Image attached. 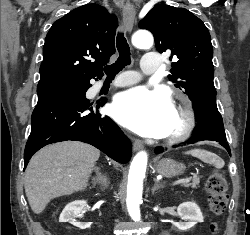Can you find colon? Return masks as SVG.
Returning a JSON list of instances; mask_svg holds the SVG:
<instances>
[{"label": "colon", "instance_id": "1", "mask_svg": "<svg viewBox=\"0 0 250 235\" xmlns=\"http://www.w3.org/2000/svg\"><path fill=\"white\" fill-rule=\"evenodd\" d=\"M205 187L211 212L217 216L223 214L229 198L228 183L224 172L220 170L212 171L206 180ZM210 230L212 234H216L217 226L211 225Z\"/></svg>", "mask_w": 250, "mask_h": 235}]
</instances>
